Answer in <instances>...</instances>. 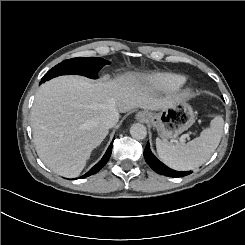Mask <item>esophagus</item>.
<instances>
[{
    "label": "esophagus",
    "mask_w": 245,
    "mask_h": 245,
    "mask_svg": "<svg viewBox=\"0 0 245 245\" xmlns=\"http://www.w3.org/2000/svg\"><path fill=\"white\" fill-rule=\"evenodd\" d=\"M149 121V115L148 113H143L141 122L147 123Z\"/></svg>",
    "instance_id": "esophagus-1"
}]
</instances>
